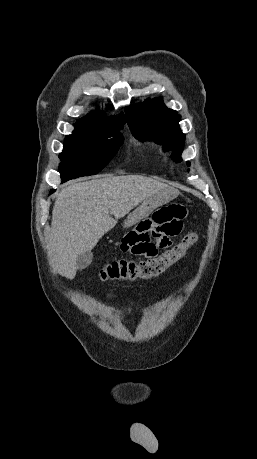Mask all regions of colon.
Wrapping results in <instances>:
<instances>
[{
    "instance_id": "5ec220e1",
    "label": "colon",
    "mask_w": 257,
    "mask_h": 459,
    "mask_svg": "<svg viewBox=\"0 0 257 459\" xmlns=\"http://www.w3.org/2000/svg\"><path fill=\"white\" fill-rule=\"evenodd\" d=\"M197 238L196 233L187 234L181 242L172 244L168 251L158 254L157 258H153L152 261L121 259L111 262L99 271L98 276L102 281L155 278L186 257Z\"/></svg>"
}]
</instances>
